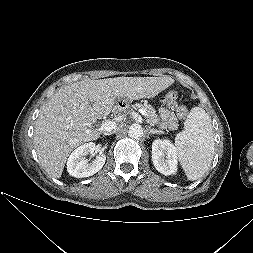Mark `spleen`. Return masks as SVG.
I'll return each mask as SVG.
<instances>
[{
  "mask_svg": "<svg viewBox=\"0 0 253 253\" xmlns=\"http://www.w3.org/2000/svg\"><path fill=\"white\" fill-rule=\"evenodd\" d=\"M214 145L210 116L200 107L192 108L185 120L184 131L175 138L177 156L189 180L201 178L208 170Z\"/></svg>",
  "mask_w": 253,
  "mask_h": 253,
  "instance_id": "obj_1",
  "label": "spleen"
}]
</instances>
